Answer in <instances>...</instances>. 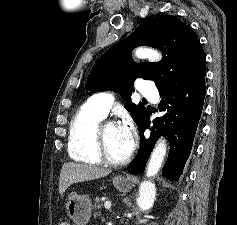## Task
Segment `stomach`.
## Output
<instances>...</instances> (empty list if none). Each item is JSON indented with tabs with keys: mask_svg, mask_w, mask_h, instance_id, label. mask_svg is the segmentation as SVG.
<instances>
[{
	"mask_svg": "<svg viewBox=\"0 0 237 225\" xmlns=\"http://www.w3.org/2000/svg\"><path fill=\"white\" fill-rule=\"evenodd\" d=\"M113 185L120 192L126 193L131 190L133 181L131 178L116 176L113 178ZM92 204L86 195L71 193L67 198L66 210L68 216L77 225H86L91 217Z\"/></svg>",
	"mask_w": 237,
	"mask_h": 225,
	"instance_id": "obj_1",
	"label": "stomach"
}]
</instances>
